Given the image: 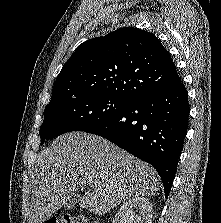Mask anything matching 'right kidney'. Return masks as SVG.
I'll return each mask as SVG.
<instances>
[{"label":"right kidney","mask_w":221,"mask_h":223,"mask_svg":"<svg viewBox=\"0 0 221 223\" xmlns=\"http://www.w3.org/2000/svg\"><path fill=\"white\" fill-rule=\"evenodd\" d=\"M134 209L139 210V216ZM112 223H152V205L142 196L129 199L119 208Z\"/></svg>","instance_id":"ca27d5eb"}]
</instances>
